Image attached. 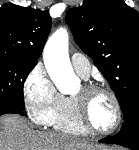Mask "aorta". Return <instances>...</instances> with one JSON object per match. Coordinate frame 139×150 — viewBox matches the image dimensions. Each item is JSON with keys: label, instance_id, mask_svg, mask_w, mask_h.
Returning <instances> with one entry per match:
<instances>
[{"label": "aorta", "instance_id": "762f6f07", "mask_svg": "<svg viewBox=\"0 0 139 150\" xmlns=\"http://www.w3.org/2000/svg\"><path fill=\"white\" fill-rule=\"evenodd\" d=\"M68 33L64 28L58 29L48 39L44 52L46 70L61 93H73L78 86L68 55Z\"/></svg>", "mask_w": 139, "mask_h": 150}]
</instances>
